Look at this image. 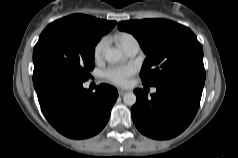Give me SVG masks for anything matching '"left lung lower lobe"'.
I'll use <instances>...</instances> for the list:
<instances>
[{
  "label": "left lung lower lobe",
  "mask_w": 238,
  "mask_h": 158,
  "mask_svg": "<svg viewBox=\"0 0 238 158\" xmlns=\"http://www.w3.org/2000/svg\"><path fill=\"white\" fill-rule=\"evenodd\" d=\"M204 83L205 71H190L157 84L151 98L136 89L137 102L131 108L135 126L153 139L177 136L195 117Z\"/></svg>",
  "instance_id": "0a47b994"
}]
</instances>
